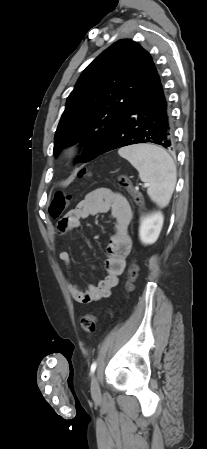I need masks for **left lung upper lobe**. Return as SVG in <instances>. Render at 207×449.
Instances as JSON below:
<instances>
[{
  "label": "left lung upper lobe",
  "instance_id": "obj_1",
  "mask_svg": "<svg viewBox=\"0 0 207 449\" xmlns=\"http://www.w3.org/2000/svg\"><path fill=\"white\" fill-rule=\"evenodd\" d=\"M155 65L137 42L120 40L81 74L69 95L54 141V154L81 142L80 162L95 158L148 85Z\"/></svg>",
  "mask_w": 207,
  "mask_h": 449
}]
</instances>
